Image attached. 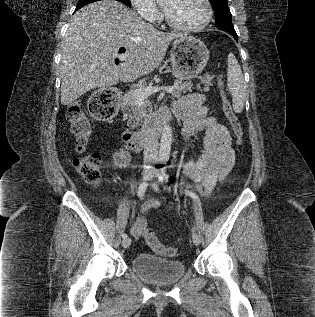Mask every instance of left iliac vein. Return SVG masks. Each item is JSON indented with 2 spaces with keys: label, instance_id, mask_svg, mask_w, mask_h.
Masks as SVG:
<instances>
[{
  "label": "left iliac vein",
  "instance_id": "left-iliac-vein-1",
  "mask_svg": "<svg viewBox=\"0 0 315 317\" xmlns=\"http://www.w3.org/2000/svg\"><path fill=\"white\" fill-rule=\"evenodd\" d=\"M157 176V173L155 172L154 173V177H156ZM154 185H157L156 183H153V186ZM192 241H193V243L195 244V245H199L200 244V242H201V239H200V236L196 233V232H193V234H192Z\"/></svg>",
  "mask_w": 315,
  "mask_h": 317
}]
</instances>
